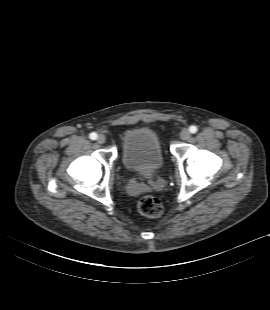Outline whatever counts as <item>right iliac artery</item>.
Returning <instances> with one entry per match:
<instances>
[{"instance_id":"right-iliac-artery-1","label":"right iliac artery","mask_w":270,"mask_h":310,"mask_svg":"<svg viewBox=\"0 0 270 310\" xmlns=\"http://www.w3.org/2000/svg\"><path fill=\"white\" fill-rule=\"evenodd\" d=\"M90 139H92V140H96L97 139V137H98V135L95 133V132H92L91 134H90Z\"/></svg>"}]
</instances>
